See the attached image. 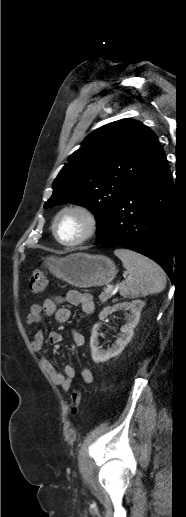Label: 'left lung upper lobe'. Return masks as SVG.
I'll return each mask as SVG.
<instances>
[{
    "label": "left lung upper lobe",
    "instance_id": "1",
    "mask_svg": "<svg viewBox=\"0 0 186 517\" xmlns=\"http://www.w3.org/2000/svg\"><path fill=\"white\" fill-rule=\"evenodd\" d=\"M161 149L154 132L123 119L91 133L53 182L44 208L70 201L96 215L98 233L133 182Z\"/></svg>",
    "mask_w": 186,
    "mask_h": 517
}]
</instances>
